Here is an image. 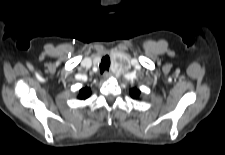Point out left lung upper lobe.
Returning <instances> with one entry per match:
<instances>
[{"label":"left lung upper lobe","mask_w":225,"mask_h":155,"mask_svg":"<svg viewBox=\"0 0 225 155\" xmlns=\"http://www.w3.org/2000/svg\"><path fill=\"white\" fill-rule=\"evenodd\" d=\"M130 93H131L132 98L137 99L140 95V90L134 88V89L130 90Z\"/></svg>","instance_id":"1"}]
</instances>
